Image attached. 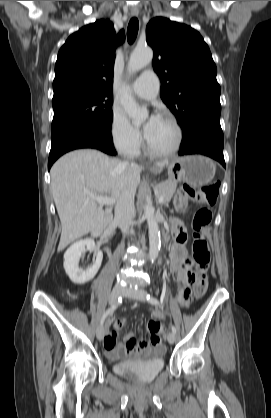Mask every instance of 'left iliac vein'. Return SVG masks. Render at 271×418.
Returning <instances> with one entry per match:
<instances>
[{"instance_id":"4c4485c4","label":"left iliac vein","mask_w":271,"mask_h":418,"mask_svg":"<svg viewBox=\"0 0 271 418\" xmlns=\"http://www.w3.org/2000/svg\"><path fill=\"white\" fill-rule=\"evenodd\" d=\"M125 297L130 299H136L139 301H146V292L142 289L125 288L123 291ZM167 340L170 344H173L176 340V336L173 332L167 334Z\"/></svg>"}]
</instances>
